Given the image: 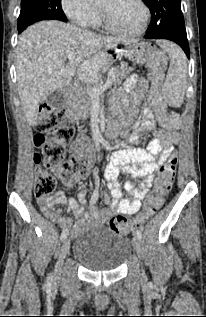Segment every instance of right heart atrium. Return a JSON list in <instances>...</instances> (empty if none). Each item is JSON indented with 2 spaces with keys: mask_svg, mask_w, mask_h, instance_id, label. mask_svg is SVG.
Masks as SVG:
<instances>
[{
  "mask_svg": "<svg viewBox=\"0 0 206 317\" xmlns=\"http://www.w3.org/2000/svg\"><path fill=\"white\" fill-rule=\"evenodd\" d=\"M67 18L78 26H91L99 17L98 8L89 0H61Z\"/></svg>",
  "mask_w": 206,
  "mask_h": 317,
  "instance_id": "d8ad5b80",
  "label": "right heart atrium"
}]
</instances>
